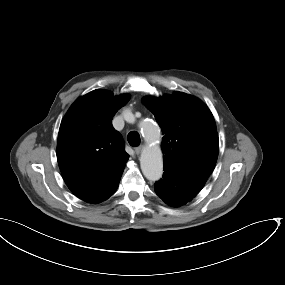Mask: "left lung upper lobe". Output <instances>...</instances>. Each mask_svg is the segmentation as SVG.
<instances>
[{"instance_id":"1","label":"left lung upper lobe","mask_w":285,"mask_h":285,"mask_svg":"<svg viewBox=\"0 0 285 285\" xmlns=\"http://www.w3.org/2000/svg\"><path fill=\"white\" fill-rule=\"evenodd\" d=\"M164 137V169L206 182L219 151L214 117L198 98L183 92L163 97H145Z\"/></svg>"}]
</instances>
